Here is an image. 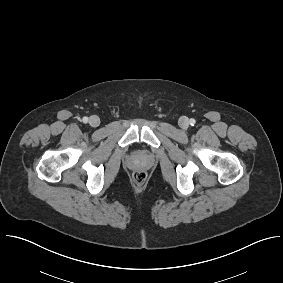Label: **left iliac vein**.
<instances>
[{"label":"left iliac vein","instance_id":"1","mask_svg":"<svg viewBox=\"0 0 283 283\" xmlns=\"http://www.w3.org/2000/svg\"><path fill=\"white\" fill-rule=\"evenodd\" d=\"M179 125H180V127L184 128V129L188 128V126H189L188 118L187 117H181L179 119Z\"/></svg>","mask_w":283,"mask_h":283}]
</instances>
